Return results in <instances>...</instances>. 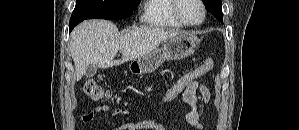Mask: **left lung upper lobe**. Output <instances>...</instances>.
I'll return each mask as SVG.
<instances>
[{"mask_svg": "<svg viewBox=\"0 0 299 130\" xmlns=\"http://www.w3.org/2000/svg\"><path fill=\"white\" fill-rule=\"evenodd\" d=\"M206 8L223 23L221 0H203Z\"/></svg>", "mask_w": 299, "mask_h": 130, "instance_id": "left-lung-upper-lobe-1", "label": "left lung upper lobe"}]
</instances>
